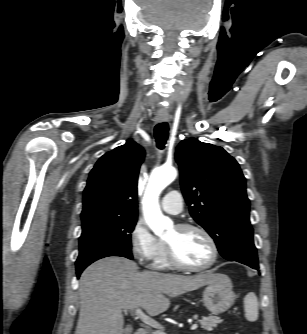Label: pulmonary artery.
I'll return each mask as SVG.
<instances>
[{
    "label": "pulmonary artery",
    "mask_w": 307,
    "mask_h": 334,
    "mask_svg": "<svg viewBox=\"0 0 307 334\" xmlns=\"http://www.w3.org/2000/svg\"><path fill=\"white\" fill-rule=\"evenodd\" d=\"M161 208L169 214H178L183 209V198L179 191H169L161 201Z\"/></svg>",
    "instance_id": "1"
}]
</instances>
